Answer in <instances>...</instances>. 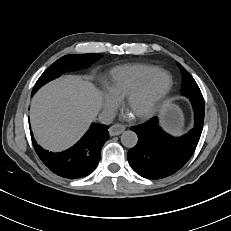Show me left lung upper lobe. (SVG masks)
Returning a JSON list of instances; mask_svg holds the SVG:
<instances>
[{"label":"left lung upper lobe","mask_w":231,"mask_h":231,"mask_svg":"<svg viewBox=\"0 0 231 231\" xmlns=\"http://www.w3.org/2000/svg\"><path fill=\"white\" fill-rule=\"evenodd\" d=\"M179 67L184 74L183 94L190 99L193 106L198 105L204 108V99L196 81L182 65L179 64Z\"/></svg>","instance_id":"1"}]
</instances>
